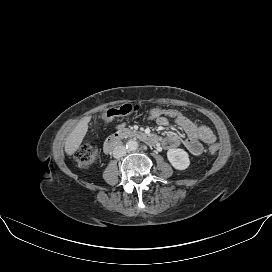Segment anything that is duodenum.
I'll return each mask as SVG.
<instances>
[{"mask_svg": "<svg viewBox=\"0 0 272 272\" xmlns=\"http://www.w3.org/2000/svg\"><path fill=\"white\" fill-rule=\"evenodd\" d=\"M124 138H131L141 140L148 144H156L158 139L155 135L146 133L144 131L124 130L119 129L115 134L108 137L104 143V152L109 154Z\"/></svg>", "mask_w": 272, "mask_h": 272, "instance_id": "410a0bca", "label": "duodenum"}]
</instances>
